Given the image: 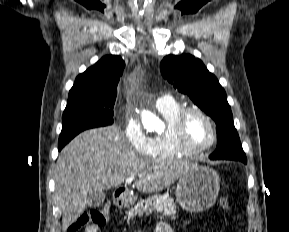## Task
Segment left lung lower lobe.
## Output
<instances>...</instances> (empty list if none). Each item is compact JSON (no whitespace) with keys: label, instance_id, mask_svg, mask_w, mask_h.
Returning a JSON list of instances; mask_svg holds the SVG:
<instances>
[{"label":"left lung lower lobe","instance_id":"left-lung-lower-lobe-1","mask_svg":"<svg viewBox=\"0 0 289 232\" xmlns=\"http://www.w3.org/2000/svg\"><path fill=\"white\" fill-rule=\"evenodd\" d=\"M239 161H242L243 163H246L247 160H239Z\"/></svg>","mask_w":289,"mask_h":232}]
</instances>
